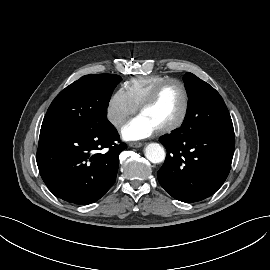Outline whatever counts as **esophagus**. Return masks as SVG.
Returning a JSON list of instances; mask_svg holds the SVG:
<instances>
[{"label": "esophagus", "mask_w": 270, "mask_h": 270, "mask_svg": "<svg viewBox=\"0 0 270 270\" xmlns=\"http://www.w3.org/2000/svg\"><path fill=\"white\" fill-rule=\"evenodd\" d=\"M130 147H134V148H139V147H142V143L140 142H131L129 144Z\"/></svg>", "instance_id": "34e87169"}]
</instances>
